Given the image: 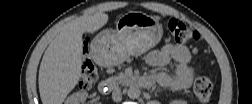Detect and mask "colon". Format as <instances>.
<instances>
[{"label": "colon", "mask_w": 252, "mask_h": 104, "mask_svg": "<svg viewBox=\"0 0 252 104\" xmlns=\"http://www.w3.org/2000/svg\"><path fill=\"white\" fill-rule=\"evenodd\" d=\"M166 27L173 41L180 44H190L199 39V33L177 19H169ZM99 78L98 70L90 59H86L82 66L79 86L82 90L89 89ZM193 90L202 102H207L212 95L213 85L211 81L204 76L196 77Z\"/></svg>", "instance_id": "colon-1"}]
</instances>
